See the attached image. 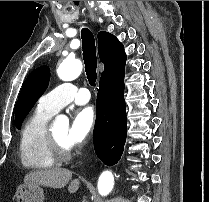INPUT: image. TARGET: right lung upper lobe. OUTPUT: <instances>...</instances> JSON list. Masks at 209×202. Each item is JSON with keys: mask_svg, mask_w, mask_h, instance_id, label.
<instances>
[{"mask_svg": "<svg viewBox=\"0 0 209 202\" xmlns=\"http://www.w3.org/2000/svg\"><path fill=\"white\" fill-rule=\"evenodd\" d=\"M98 52L104 63L99 84L109 86L123 83L126 54L122 43L112 34L101 31L98 34Z\"/></svg>", "mask_w": 209, "mask_h": 202, "instance_id": "right-lung-upper-lobe-1", "label": "right lung upper lobe"}]
</instances>
